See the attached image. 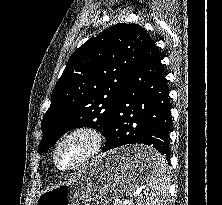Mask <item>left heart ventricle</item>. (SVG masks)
I'll return each instance as SVG.
<instances>
[{
	"mask_svg": "<svg viewBox=\"0 0 222 205\" xmlns=\"http://www.w3.org/2000/svg\"><path fill=\"white\" fill-rule=\"evenodd\" d=\"M90 140L84 136H75L64 142L57 153L58 163L69 167L76 163L89 149Z\"/></svg>",
	"mask_w": 222,
	"mask_h": 205,
	"instance_id": "obj_1",
	"label": "left heart ventricle"
}]
</instances>
